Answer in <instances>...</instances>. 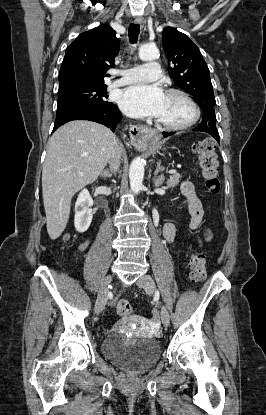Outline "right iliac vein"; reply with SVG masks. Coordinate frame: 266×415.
Wrapping results in <instances>:
<instances>
[{"label":"right iliac vein","mask_w":266,"mask_h":415,"mask_svg":"<svg viewBox=\"0 0 266 415\" xmlns=\"http://www.w3.org/2000/svg\"><path fill=\"white\" fill-rule=\"evenodd\" d=\"M112 281V277L108 276L103 283L101 284L97 296V300L95 303V311L97 314L101 313L105 307V304L107 302V295H108V287L109 284Z\"/></svg>","instance_id":"obj_1"}]
</instances>
